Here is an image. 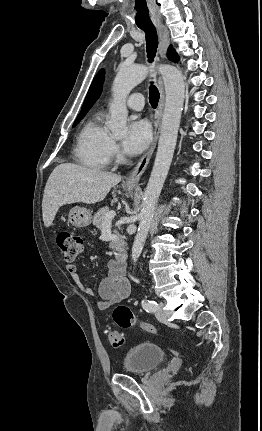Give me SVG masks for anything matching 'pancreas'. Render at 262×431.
Masks as SVG:
<instances>
[{"instance_id": "1", "label": "pancreas", "mask_w": 262, "mask_h": 431, "mask_svg": "<svg viewBox=\"0 0 262 431\" xmlns=\"http://www.w3.org/2000/svg\"><path fill=\"white\" fill-rule=\"evenodd\" d=\"M109 212H111L110 211V208L109 207H103V208H101L95 215H94V218H93V224L98 228V229H100L101 227H102V225H103V222H104V219H105V217H106V214L107 213H109ZM114 233L115 234H117V235H119V233L117 232V230H114ZM123 244V242H122V240L120 239V240H118V241H116V240H113L111 243H110V247L111 248H116L117 246H119V245H122Z\"/></svg>"}]
</instances>
